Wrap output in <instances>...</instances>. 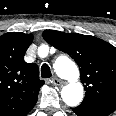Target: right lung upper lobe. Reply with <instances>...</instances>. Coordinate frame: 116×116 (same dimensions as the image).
I'll use <instances>...</instances> for the list:
<instances>
[{"mask_svg": "<svg viewBox=\"0 0 116 116\" xmlns=\"http://www.w3.org/2000/svg\"><path fill=\"white\" fill-rule=\"evenodd\" d=\"M32 34L11 32L0 36V116H26L37 102L44 81L34 63L24 61Z\"/></svg>", "mask_w": 116, "mask_h": 116, "instance_id": "obj_1", "label": "right lung upper lobe"}]
</instances>
